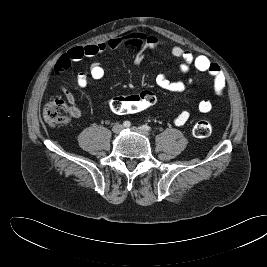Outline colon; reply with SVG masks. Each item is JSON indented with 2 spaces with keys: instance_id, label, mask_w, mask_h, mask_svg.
<instances>
[{
  "instance_id": "colon-1",
  "label": "colon",
  "mask_w": 267,
  "mask_h": 267,
  "mask_svg": "<svg viewBox=\"0 0 267 267\" xmlns=\"http://www.w3.org/2000/svg\"><path fill=\"white\" fill-rule=\"evenodd\" d=\"M155 102V94L146 90L135 95L113 97L110 100V107L117 114H135L148 110ZM72 115L71 107L57 98L50 100L43 110L44 119L51 126L68 123ZM192 132L197 138H205L211 134L212 126L209 121L200 120L194 124Z\"/></svg>"
}]
</instances>
